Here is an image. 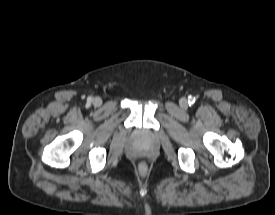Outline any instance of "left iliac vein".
Returning a JSON list of instances; mask_svg holds the SVG:
<instances>
[{"label":"left iliac vein","instance_id":"obj_1","mask_svg":"<svg viewBox=\"0 0 275 215\" xmlns=\"http://www.w3.org/2000/svg\"><path fill=\"white\" fill-rule=\"evenodd\" d=\"M180 106H181L182 108H187L188 102H187V100H186L185 98H182V99L180 100Z\"/></svg>","mask_w":275,"mask_h":215}]
</instances>
